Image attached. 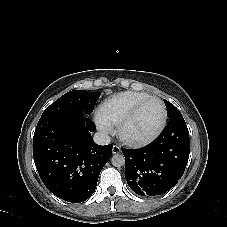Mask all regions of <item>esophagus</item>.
<instances>
[{"instance_id": "34e87169", "label": "esophagus", "mask_w": 227, "mask_h": 227, "mask_svg": "<svg viewBox=\"0 0 227 227\" xmlns=\"http://www.w3.org/2000/svg\"><path fill=\"white\" fill-rule=\"evenodd\" d=\"M121 152V149L119 146L117 145H114L113 148H112V153L113 154H119Z\"/></svg>"}]
</instances>
